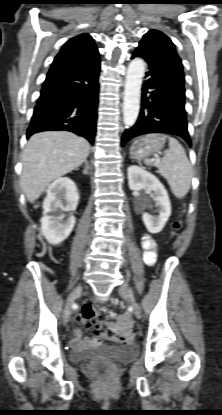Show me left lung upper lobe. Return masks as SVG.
Returning a JSON list of instances; mask_svg holds the SVG:
<instances>
[{
    "mask_svg": "<svg viewBox=\"0 0 222 415\" xmlns=\"http://www.w3.org/2000/svg\"><path fill=\"white\" fill-rule=\"evenodd\" d=\"M142 40L156 41L165 44L166 46L175 50V45L172 43V41L165 34L158 30H150L144 35Z\"/></svg>",
    "mask_w": 222,
    "mask_h": 415,
    "instance_id": "left-lung-upper-lobe-1",
    "label": "left lung upper lobe"
}]
</instances>
